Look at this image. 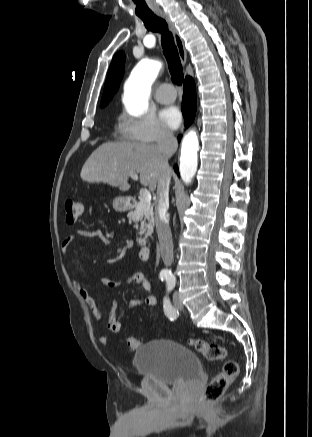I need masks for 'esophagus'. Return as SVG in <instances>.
Listing matches in <instances>:
<instances>
[{
    "label": "esophagus",
    "mask_w": 312,
    "mask_h": 437,
    "mask_svg": "<svg viewBox=\"0 0 312 437\" xmlns=\"http://www.w3.org/2000/svg\"><path fill=\"white\" fill-rule=\"evenodd\" d=\"M157 15L167 22V24H168V26L173 34L174 42H175V45L177 47L181 63L183 66H185L186 62H187V52H186V49L184 46V42H183L178 30L176 29V27L172 23L170 17L165 12H162V11L157 12ZM182 130H183V125L181 126V131Z\"/></svg>",
    "instance_id": "obj_1"
}]
</instances>
